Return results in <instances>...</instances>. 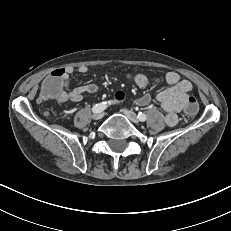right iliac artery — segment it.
<instances>
[{
  "instance_id": "82829eb1",
  "label": "right iliac artery",
  "mask_w": 231,
  "mask_h": 231,
  "mask_svg": "<svg viewBox=\"0 0 231 231\" xmlns=\"http://www.w3.org/2000/svg\"><path fill=\"white\" fill-rule=\"evenodd\" d=\"M111 104H113L112 101H105V102L98 103L93 106L92 111L93 113L102 112L107 108L108 105H111Z\"/></svg>"
}]
</instances>
